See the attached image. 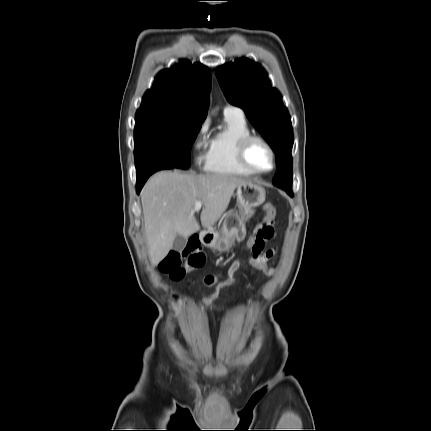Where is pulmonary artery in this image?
Listing matches in <instances>:
<instances>
[{"mask_svg":"<svg viewBox=\"0 0 431 431\" xmlns=\"http://www.w3.org/2000/svg\"><path fill=\"white\" fill-rule=\"evenodd\" d=\"M223 112L224 114H234V115L243 116V112L239 108L230 106V105L225 106Z\"/></svg>","mask_w":431,"mask_h":431,"instance_id":"1","label":"pulmonary artery"}]
</instances>
